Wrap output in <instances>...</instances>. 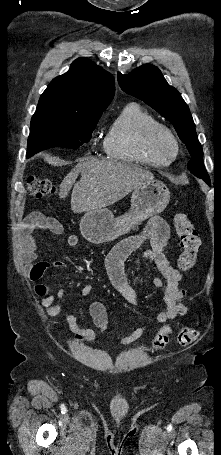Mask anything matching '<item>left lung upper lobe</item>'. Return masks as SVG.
<instances>
[{"mask_svg": "<svg viewBox=\"0 0 221 455\" xmlns=\"http://www.w3.org/2000/svg\"><path fill=\"white\" fill-rule=\"evenodd\" d=\"M117 78L124 92L144 101L173 124L190 152L188 169L208 183L210 179L203 165V151L195 124L187 104L177 89L170 86L161 71L151 64L142 65L129 75L118 72Z\"/></svg>", "mask_w": 221, "mask_h": 455, "instance_id": "1", "label": "left lung upper lobe"}]
</instances>
